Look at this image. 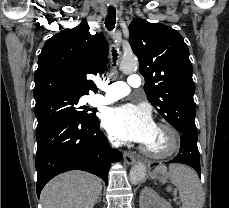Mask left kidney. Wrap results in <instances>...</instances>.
I'll return each instance as SVG.
<instances>
[{
	"mask_svg": "<svg viewBox=\"0 0 229 208\" xmlns=\"http://www.w3.org/2000/svg\"><path fill=\"white\" fill-rule=\"evenodd\" d=\"M140 208H171L170 204L163 200V198H159L158 194L151 190V188H144L140 194L139 198Z\"/></svg>",
	"mask_w": 229,
	"mask_h": 208,
	"instance_id": "obj_1",
	"label": "left kidney"
}]
</instances>
